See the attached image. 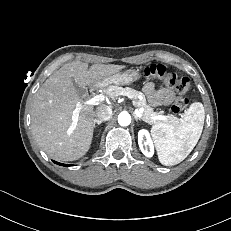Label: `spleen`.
<instances>
[{"label": "spleen", "instance_id": "spleen-1", "mask_svg": "<svg viewBox=\"0 0 231 231\" xmlns=\"http://www.w3.org/2000/svg\"><path fill=\"white\" fill-rule=\"evenodd\" d=\"M204 119L203 104L194 102L175 123H159L151 128L161 164L176 165L190 154L201 136Z\"/></svg>", "mask_w": 231, "mask_h": 231}]
</instances>
